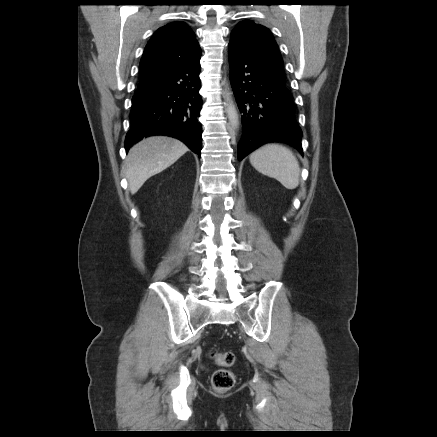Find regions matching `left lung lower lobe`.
<instances>
[{
    "label": "left lung lower lobe",
    "instance_id": "left-lung-lower-lobe-1",
    "mask_svg": "<svg viewBox=\"0 0 437 437\" xmlns=\"http://www.w3.org/2000/svg\"><path fill=\"white\" fill-rule=\"evenodd\" d=\"M229 62L231 86L242 113L243 136L238 159L274 141L288 143L302 153V131L286 83L232 47H229Z\"/></svg>",
    "mask_w": 437,
    "mask_h": 437
}]
</instances>
